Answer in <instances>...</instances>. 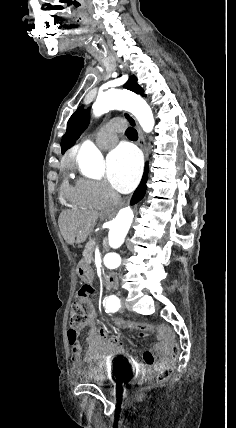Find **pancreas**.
<instances>
[{"instance_id":"1","label":"pancreas","mask_w":236,"mask_h":428,"mask_svg":"<svg viewBox=\"0 0 236 428\" xmlns=\"http://www.w3.org/2000/svg\"><path fill=\"white\" fill-rule=\"evenodd\" d=\"M95 246H96L95 240H90V242H88L83 252L84 262H88V264H91V262H94L93 252H95Z\"/></svg>"}]
</instances>
